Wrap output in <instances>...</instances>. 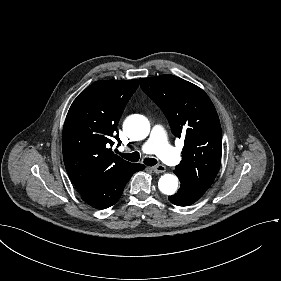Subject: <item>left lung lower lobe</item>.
<instances>
[{
    "label": "left lung lower lobe",
    "instance_id": "0a47b994",
    "mask_svg": "<svg viewBox=\"0 0 281 281\" xmlns=\"http://www.w3.org/2000/svg\"><path fill=\"white\" fill-rule=\"evenodd\" d=\"M181 186L178 192L168 199L171 203L178 206H189L199 200L201 196L205 193L196 187H194L189 182L180 180Z\"/></svg>",
    "mask_w": 281,
    "mask_h": 281
}]
</instances>
